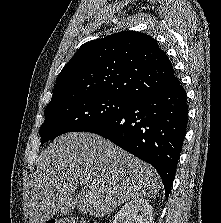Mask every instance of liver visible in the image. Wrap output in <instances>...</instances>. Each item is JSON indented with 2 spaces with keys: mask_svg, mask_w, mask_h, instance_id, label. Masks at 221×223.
<instances>
[{
  "mask_svg": "<svg viewBox=\"0 0 221 223\" xmlns=\"http://www.w3.org/2000/svg\"><path fill=\"white\" fill-rule=\"evenodd\" d=\"M82 184L85 187L71 201ZM160 184L151 165L109 140L86 132L67 133L37 158L30 223H45L57 212L66 215L75 207L102 217L130 200L155 196Z\"/></svg>",
  "mask_w": 221,
  "mask_h": 223,
  "instance_id": "1",
  "label": "liver"
}]
</instances>
